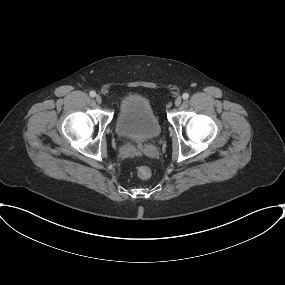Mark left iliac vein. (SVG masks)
<instances>
[{
  "label": "left iliac vein",
  "mask_w": 285,
  "mask_h": 285,
  "mask_svg": "<svg viewBox=\"0 0 285 285\" xmlns=\"http://www.w3.org/2000/svg\"><path fill=\"white\" fill-rule=\"evenodd\" d=\"M182 102V98L181 97H177L176 100H175V105L176 106H179Z\"/></svg>",
  "instance_id": "1"
}]
</instances>
